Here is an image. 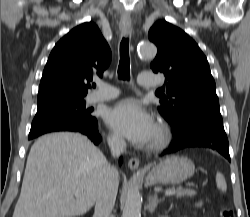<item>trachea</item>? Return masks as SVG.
I'll return each instance as SVG.
<instances>
[{
    "label": "trachea",
    "mask_w": 250,
    "mask_h": 217,
    "mask_svg": "<svg viewBox=\"0 0 250 217\" xmlns=\"http://www.w3.org/2000/svg\"><path fill=\"white\" fill-rule=\"evenodd\" d=\"M118 77L123 80L130 78L129 39L123 38L120 43V61L118 66ZM95 87V85H93Z\"/></svg>",
    "instance_id": "obj_1"
}]
</instances>
